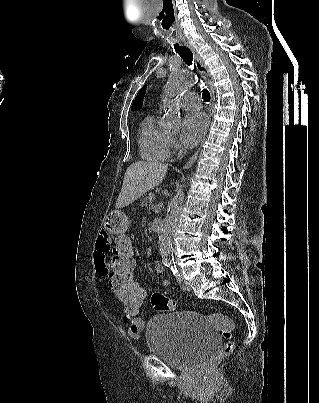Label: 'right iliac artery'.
Listing matches in <instances>:
<instances>
[{"label":"right iliac artery","mask_w":319,"mask_h":403,"mask_svg":"<svg viewBox=\"0 0 319 403\" xmlns=\"http://www.w3.org/2000/svg\"><path fill=\"white\" fill-rule=\"evenodd\" d=\"M172 263H167L166 266L169 268L171 267Z\"/></svg>","instance_id":"82829eb1"}]
</instances>
